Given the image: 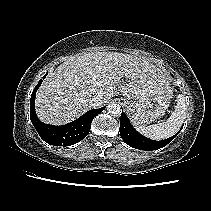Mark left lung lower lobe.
Here are the masks:
<instances>
[{
	"mask_svg": "<svg viewBox=\"0 0 211 211\" xmlns=\"http://www.w3.org/2000/svg\"><path fill=\"white\" fill-rule=\"evenodd\" d=\"M180 131H181V129H180ZM178 133L175 134L174 136H172L168 139L162 140V141H154V140L148 139V138L142 136L141 134H139L132 127V125L130 124L128 118L123 113V111L121 113L120 135L126 144H128L129 146H131L135 149L146 150V151L160 149V148L166 146L169 142H171L178 135Z\"/></svg>",
	"mask_w": 211,
	"mask_h": 211,
	"instance_id": "left-lung-lower-lobe-1",
	"label": "left lung lower lobe"
}]
</instances>
